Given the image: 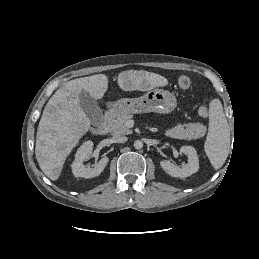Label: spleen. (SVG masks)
<instances>
[{
  "label": "spleen",
  "mask_w": 259,
  "mask_h": 259,
  "mask_svg": "<svg viewBox=\"0 0 259 259\" xmlns=\"http://www.w3.org/2000/svg\"><path fill=\"white\" fill-rule=\"evenodd\" d=\"M230 131L222 103L213 99L209 105V127L204 150L215 170L221 168L229 154Z\"/></svg>",
  "instance_id": "obj_1"
}]
</instances>
